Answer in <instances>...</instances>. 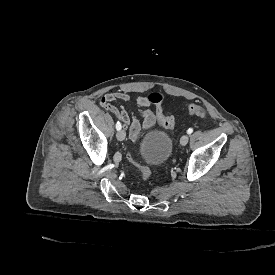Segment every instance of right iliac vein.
Masks as SVG:
<instances>
[{
  "label": "right iliac vein",
  "instance_id": "63e3f726",
  "mask_svg": "<svg viewBox=\"0 0 275 275\" xmlns=\"http://www.w3.org/2000/svg\"><path fill=\"white\" fill-rule=\"evenodd\" d=\"M125 137H126L125 131L120 129V130L117 132V139H118L119 141H123V140L125 139Z\"/></svg>",
  "mask_w": 275,
  "mask_h": 275
}]
</instances>
